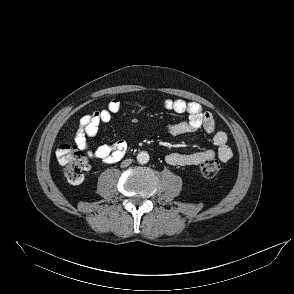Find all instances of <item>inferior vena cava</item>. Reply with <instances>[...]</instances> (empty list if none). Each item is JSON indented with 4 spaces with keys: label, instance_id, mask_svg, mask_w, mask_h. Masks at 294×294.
I'll list each match as a JSON object with an SVG mask.
<instances>
[{
    "label": "inferior vena cava",
    "instance_id": "602c4592",
    "mask_svg": "<svg viewBox=\"0 0 294 294\" xmlns=\"http://www.w3.org/2000/svg\"><path fill=\"white\" fill-rule=\"evenodd\" d=\"M132 163V159H126L121 163V167H127Z\"/></svg>",
    "mask_w": 294,
    "mask_h": 294
}]
</instances>
